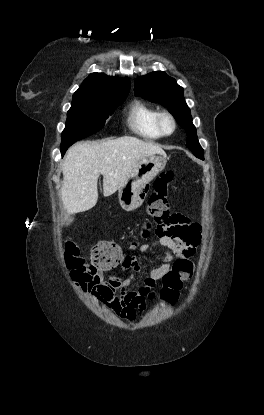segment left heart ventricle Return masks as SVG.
Instances as JSON below:
<instances>
[{
    "label": "left heart ventricle",
    "mask_w": 264,
    "mask_h": 415,
    "mask_svg": "<svg viewBox=\"0 0 264 415\" xmlns=\"http://www.w3.org/2000/svg\"><path fill=\"white\" fill-rule=\"evenodd\" d=\"M163 127H164V129H165L166 131L171 130V123H170V121H169V120H167V119H165V120H164V122H163Z\"/></svg>",
    "instance_id": "left-heart-ventricle-1"
}]
</instances>
